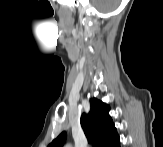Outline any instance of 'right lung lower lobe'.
I'll return each mask as SVG.
<instances>
[{
	"label": "right lung lower lobe",
	"mask_w": 163,
	"mask_h": 147,
	"mask_svg": "<svg viewBox=\"0 0 163 147\" xmlns=\"http://www.w3.org/2000/svg\"><path fill=\"white\" fill-rule=\"evenodd\" d=\"M109 147H120L119 136Z\"/></svg>",
	"instance_id": "98d812e1"
}]
</instances>
